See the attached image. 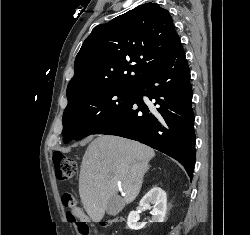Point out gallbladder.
Segmentation results:
<instances>
[{
  "label": "gallbladder",
  "instance_id": "gallbladder-1",
  "mask_svg": "<svg viewBox=\"0 0 250 235\" xmlns=\"http://www.w3.org/2000/svg\"><path fill=\"white\" fill-rule=\"evenodd\" d=\"M124 207L123 202L118 197H112L109 199L106 212L109 215L115 216L117 215Z\"/></svg>",
  "mask_w": 250,
  "mask_h": 235
}]
</instances>
